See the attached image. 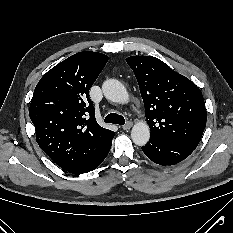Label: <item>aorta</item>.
I'll use <instances>...</instances> for the list:
<instances>
[{
  "mask_svg": "<svg viewBox=\"0 0 233 233\" xmlns=\"http://www.w3.org/2000/svg\"><path fill=\"white\" fill-rule=\"evenodd\" d=\"M104 96L116 103H127L129 100L125 86L116 79H108L102 84ZM131 138L138 146L147 144L150 138V129L146 122L136 123L131 130Z\"/></svg>",
  "mask_w": 233,
  "mask_h": 233,
  "instance_id": "obj_1",
  "label": "aorta"
}]
</instances>
